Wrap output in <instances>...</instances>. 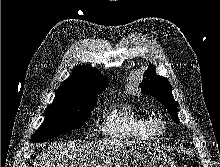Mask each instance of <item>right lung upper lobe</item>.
<instances>
[{
  "instance_id": "1",
  "label": "right lung upper lobe",
  "mask_w": 220,
  "mask_h": 167,
  "mask_svg": "<svg viewBox=\"0 0 220 167\" xmlns=\"http://www.w3.org/2000/svg\"><path fill=\"white\" fill-rule=\"evenodd\" d=\"M107 86V79L98 69L86 65L75 67L72 75L61 83L54 100L72 97L95 96Z\"/></svg>"
}]
</instances>
